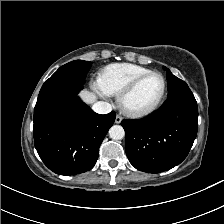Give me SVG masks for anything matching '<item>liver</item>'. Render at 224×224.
Segmentation results:
<instances>
[{
    "label": "liver",
    "mask_w": 224,
    "mask_h": 224,
    "mask_svg": "<svg viewBox=\"0 0 224 224\" xmlns=\"http://www.w3.org/2000/svg\"><path fill=\"white\" fill-rule=\"evenodd\" d=\"M79 95L81 99L89 105L95 103V101L97 100V96L93 92L82 91Z\"/></svg>",
    "instance_id": "liver-1"
}]
</instances>
